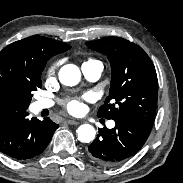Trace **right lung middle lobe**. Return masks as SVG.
<instances>
[{
	"label": "right lung middle lobe",
	"instance_id": "right-lung-middle-lobe-1",
	"mask_svg": "<svg viewBox=\"0 0 183 183\" xmlns=\"http://www.w3.org/2000/svg\"><path fill=\"white\" fill-rule=\"evenodd\" d=\"M41 87H42L41 75L37 79L29 81L23 86L21 91V97L25 102V104L27 105V107L29 106V103L32 99L33 96L32 92L36 91L38 88Z\"/></svg>",
	"mask_w": 183,
	"mask_h": 183
}]
</instances>
